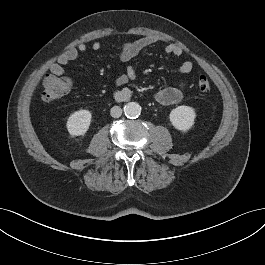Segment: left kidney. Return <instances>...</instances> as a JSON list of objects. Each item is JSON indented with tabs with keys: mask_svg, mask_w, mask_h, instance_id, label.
I'll use <instances>...</instances> for the list:
<instances>
[{
	"mask_svg": "<svg viewBox=\"0 0 265 265\" xmlns=\"http://www.w3.org/2000/svg\"><path fill=\"white\" fill-rule=\"evenodd\" d=\"M196 113L190 106H178L170 112L171 124L179 131H188L195 123Z\"/></svg>",
	"mask_w": 265,
	"mask_h": 265,
	"instance_id": "obj_1",
	"label": "left kidney"
}]
</instances>
